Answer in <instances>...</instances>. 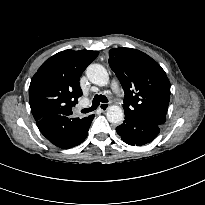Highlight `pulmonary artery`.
<instances>
[{
    "label": "pulmonary artery",
    "mask_w": 205,
    "mask_h": 205,
    "mask_svg": "<svg viewBox=\"0 0 205 205\" xmlns=\"http://www.w3.org/2000/svg\"><path fill=\"white\" fill-rule=\"evenodd\" d=\"M111 88L117 96L121 95V89H120L119 83L117 81H112Z\"/></svg>",
    "instance_id": "pulmonary-artery-1"
}]
</instances>
